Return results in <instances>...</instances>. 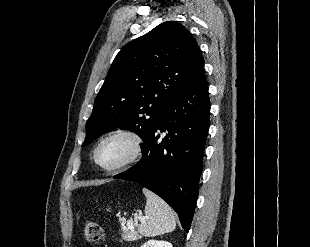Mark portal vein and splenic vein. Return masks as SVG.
I'll return each instance as SVG.
<instances>
[{
	"label": "portal vein and splenic vein",
	"instance_id": "1",
	"mask_svg": "<svg viewBox=\"0 0 310 247\" xmlns=\"http://www.w3.org/2000/svg\"><path fill=\"white\" fill-rule=\"evenodd\" d=\"M137 219L142 220L143 218L138 216ZM127 228L128 229H134V224L132 221H130V220L127 221Z\"/></svg>",
	"mask_w": 310,
	"mask_h": 247
}]
</instances>
